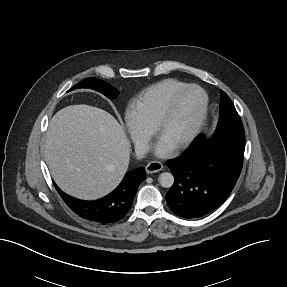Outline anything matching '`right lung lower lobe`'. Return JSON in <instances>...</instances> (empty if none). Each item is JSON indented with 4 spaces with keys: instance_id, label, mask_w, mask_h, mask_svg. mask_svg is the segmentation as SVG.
<instances>
[{
    "instance_id": "obj_1",
    "label": "right lung lower lobe",
    "mask_w": 287,
    "mask_h": 287,
    "mask_svg": "<svg viewBox=\"0 0 287 287\" xmlns=\"http://www.w3.org/2000/svg\"><path fill=\"white\" fill-rule=\"evenodd\" d=\"M144 179V167L128 172L113 192L95 201L76 199L62 192L56 185L55 187L67 206L78 216L104 225L117 222L127 214Z\"/></svg>"
}]
</instances>
